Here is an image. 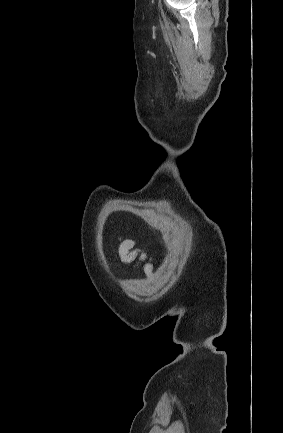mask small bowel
I'll use <instances>...</instances> for the list:
<instances>
[{"instance_id":"1","label":"small bowel","mask_w":283,"mask_h":433,"mask_svg":"<svg viewBox=\"0 0 283 433\" xmlns=\"http://www.w3.org/2000/svg\"><path fill=\"white\" fill-rule=\"evenodd\" d=\"M117 254L124 263H132L135 261L143 263L147 260L146 253L137 248L135 241L132 239L121 240ZM143 271L145 275L150 278L152 276V265L150 263H144Z\"/></svg>"}]
</instances>
